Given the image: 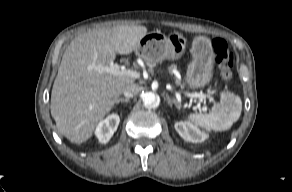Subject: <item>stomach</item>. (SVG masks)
Segmentation results:
<instances>
[{"mask_svg":"<svg viewBox=\"0 0 292 192\" xmlns=\"http://www.w3.org/2000/svg\"><path fill=\"white\" fill-rule=\"evenodd\" d=\"M187 41L180 33L169 36L154 31L147 33L137 44L136 54L147 63H158L165 59L178 60L185 52ZM192 61L188 64L185 80L192 89L205 87L212 79L214 52L210 39L197 36L190 49Z\"/></svg>","mask_w":292,"mask_h":192,"instance_id":"0dacf381","label":"stomach"}]
</instances>
